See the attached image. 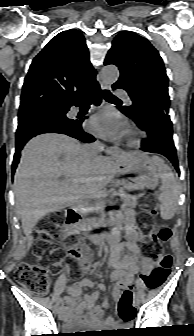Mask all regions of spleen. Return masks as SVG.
<instances>
[{
    "label": "spleen",
    "mask_w": 194,
    "mask_h": 336,
    "mask_svg": "<svg viewBox=\"0 0 194 336\" xmlns=\"http://www.w3.org/2000/svg\"><path fill=\"white\" fill-rule=\"evenodd\" d=\"M152 162L157 166L159 177L161 178V217L165 220L171 219L177 209V201L179 197V185L171 172L168 165H166L162 158L158 156L152 157Z\"/></svg>",
    "instance_id": "spleen-1"
}]
</instances>
